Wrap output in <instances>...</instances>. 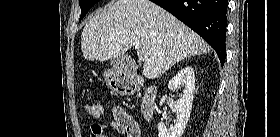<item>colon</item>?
Returning a JSON list of instances; mask_svg holds the SVG:
<instances>
[{"label":"colon","mask_w":280,"mask_h":137,"mask_svg":"<svg viewBox=\"0 0 280 137\" xmlns=\"http://www.w3.org/2000/svg\"><path fill=\"white\" fill-rule=\"evenodd\" d=\"M84 110L89 116L97 118L101 115L102 107L101 104L96 101H88L84 104ZM126 124L131 135L135 136L139 133L138 126L131 118L126 119Z\"/></svg>","instance_id":"1"}]
</instances>
